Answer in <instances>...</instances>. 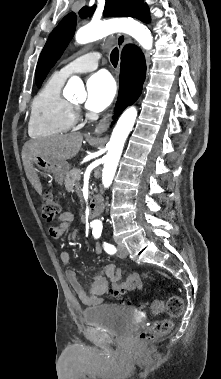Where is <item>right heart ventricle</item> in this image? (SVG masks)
<instances>
[{
    "instance_id": "1",
    "label": "right heart ventricle",
    "mask_w": 221,
    "mask_h": 379,
    "mask_svg": "<svg viewBox=\"0 0 221 379\" xmlns=\"http://www.w3.org/2000/svg\"><path fill=\"white\" fill-rule=\"evenodd\" d=\"M65 78L53 74L35 95L30 109L28 133L32 138L57 136L73 128V105L63 97Z\"/></svg>"
}]
</instances>
